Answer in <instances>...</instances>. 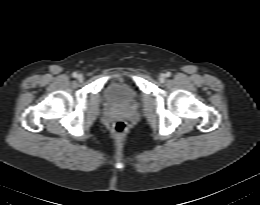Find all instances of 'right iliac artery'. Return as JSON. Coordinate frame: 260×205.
Listing matches in <instances>:
<instances>
[{"label": "right iliac artery", "instance_id": "82829eb1", "mask_svg": "<svg viewBox=\"0 0 260 205\" xmlns=\"http://www.w3.org/2000/svg\"><path fill=\"white\" fill-rule=\"evenodd\" d=\"M72 76H73L74 78L77 77V73L74 72V73L72 74Z\"/></svg>", "mask_w": 260, "mask_h": 205}]
</instances>
